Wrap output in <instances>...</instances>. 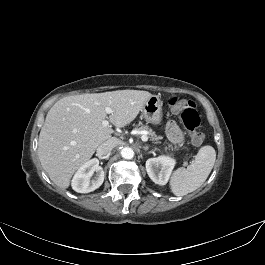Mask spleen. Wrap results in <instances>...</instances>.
Instances as JSON below:
<instances>
[{
	"instance_id": "3e777b00",
	"label": "spleen",
	"mask_w": 265,
	"mask_h": 265,
	"mask_svg": "<svg viewBox=\"0 0 265 265\" xmlns=\"http://www.w3.org/2000/svg\"><path fill=\"white\" fill-rule=\"evenodd\" d=\"M216 160L212 146L200 148L192 163L187 168H178L172 175L170 188L174 195L184 196L199 188L209 176Z\"/></svg>"
}]
</instances>
